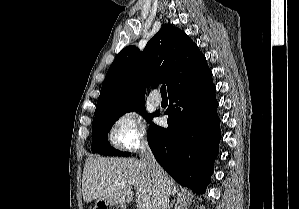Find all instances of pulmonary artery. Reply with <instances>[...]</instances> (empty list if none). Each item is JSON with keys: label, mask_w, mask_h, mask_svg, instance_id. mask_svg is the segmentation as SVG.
<instances>
[{"label": "pulmonary artery", "mask_w": 299, "mask_h": 209, "mask_svg": "<svg viewBox=\"0 0 299 209\" xmlns=\"http://www.w3.org/2000/svg\"><path fill=\"white\" fill-rule=\"evenodd\" d=\"M150 102L153 106L158 107L161 105V98L158 96V92L155 90L150 95Z\"/></svg>", "instance_id": "e3ab8cb5"}]
</instances>
